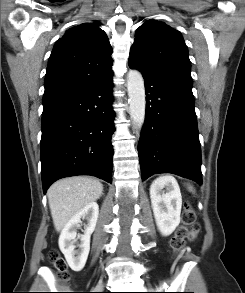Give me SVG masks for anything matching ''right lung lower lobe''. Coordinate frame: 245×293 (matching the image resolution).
<instances>
[{
  "label": "right lung lower lobe",
  "mask_w": 245,
  "mask_h": 293,
  "mask_svg": "<svg viewBox=\"0 0 245 293\" xmlns=\"http://www.w3.org/2000/svg\"><path fill=\"white\" fill-rule=\"evenodd\" d=\"M112 75L43 108L41 174L43 190L56 180L92 175L112 182L115 113Z\"/></svg>",
  "instance_id": "98d812e1"
}]
</instances>
